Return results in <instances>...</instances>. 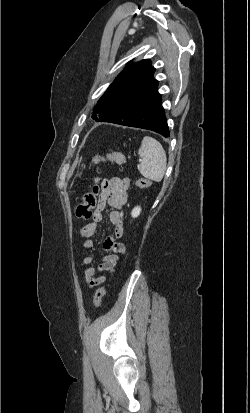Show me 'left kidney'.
<instances>
[{
  "instance_id": "5707ae66",
  "label": "left kidney",
  "mask_w": 250,
  "mask_h": 413,
  "mask_svg": "<svg viewBox=\"0 0 250 413\" xmlns=\"http://www.w3.org/2000/svg\"><path fill=\"white\" fill-rule=\"evenodd\" d=\"M140 212H141V208L137 206L132 210L131 215L133 218H136L140 215Z\"/></svg>"
}]
</instances>
